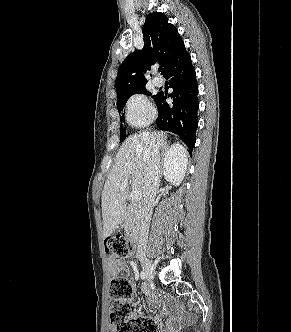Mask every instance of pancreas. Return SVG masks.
Masks as SVG:
<instances>
[{"label": "pancreas", "instance_id": "1", "mask_svg": "<svg viewBox=\"0 0 291 332\" xmlns=\"http://www.w3.org/2000/svg\"><path fill=\"white\" fill-rule=\"evenodd\" d=\"M139 210L137 206H131L127 209L124 218V229L127 233L132 232L138 226Z\"/></svg>", "mask_w": 291, "mask_h": 332}]
</instances>
